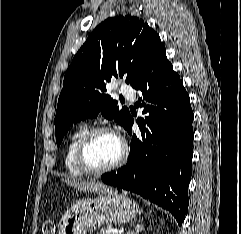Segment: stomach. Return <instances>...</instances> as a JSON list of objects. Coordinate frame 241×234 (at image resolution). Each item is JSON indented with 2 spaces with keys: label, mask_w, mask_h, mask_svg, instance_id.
I'll list each match as a JSON object with an SVG mask.
<instances>
[{
  "label": "stomach",
  "mask_w": 241,
  "mask_h": 234,
  "mask_svg": "<svg viewBox=\"0 0 241 234\" xmlns=\"http://www.w3.org/2000/svg\"><path fill=\"white\" fill-rule=\"evenodd\" d=\"M139 212L130 198L108 190L97 197L77 201L59 224V234H86L92 228L113 223H128Z\"/></svg>",
  "instance_id": "obj_1"
}]
</instances>
